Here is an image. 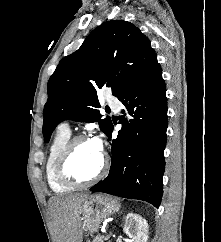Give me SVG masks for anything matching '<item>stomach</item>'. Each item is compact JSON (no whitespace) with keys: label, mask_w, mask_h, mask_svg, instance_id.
I'll use <instances>...</instances> for the list:
<instances>
[{"label":"stomach","mask_w":221,"mask_h":242,"mask_svg":"<svg viewBox=\"0 0 221 242\" xmlns=\"http://www.w3.org/2000/svg\"><path fill=\"white\" fill-rule=\"evenodd\" d=\"M120 203L117 199L103 194L88 196L80 208L83 229L90 235L98 232L101 222L118 212Z\"/></svg>","instance_id":"1"}]
</instances>
